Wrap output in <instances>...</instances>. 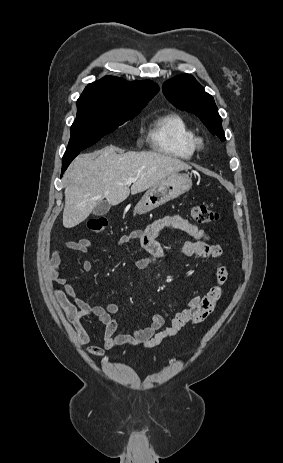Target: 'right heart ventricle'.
<instances>
[{
    "label": "right heart ventricle",
    "mask_w": 283,
    "mask_h": 463,
    "mask_svg": "<svg viewBox=\"0 0 283 463\" xmlns=\"http://www.w3.org/2000/svg\"><path fill=\"white\" fill-rule=\"evenodd\" d=\"M148 137L152 148L161 154L179 159L195 154V132L180 114L168 113L156 119Z\"/></svg>",
    "instance_id": "e07e8e85"
}]
</instances>
